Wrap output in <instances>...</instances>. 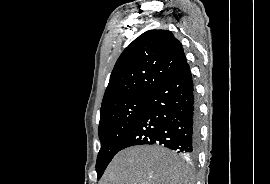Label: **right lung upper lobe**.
<instances>
[{
  "instance_id": "obj_1",
  "label": "right lung upper lobe",
  "mask_w": 270,
  "mask_h": 184,
  "mask_svg": "<svg viewBox=\"0 0 270 184\" xmlns=\"http://www.w3.org/2000/svg\"><path fill=\"white\" fill-rule=\"evenodd\" d=\"M186 63L182 44L172 32L146 31L117 60L102 106L130 96H149Z\"/></svg>"
}]
</instances>
